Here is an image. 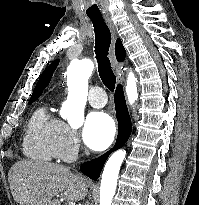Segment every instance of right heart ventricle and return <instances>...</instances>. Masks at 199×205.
Segmentation results:
<instances>
[{"label": "right heart ventricle", "mask_w": 199, "mask_h": 205, "mask_svg": "<svg viewBox=\"0 0 199 205\" xmlns=\"http://www.w3.org/2000/svg\"><path fill=\"white\" fill-rule=\"evenodd\" d=\"M61 121L52 116L45 106L31 116L23 138V153L26 157L50 162L57 157V136Z\"/></svg>", "instance_id": "1"}]
</instances>
